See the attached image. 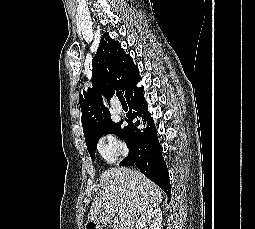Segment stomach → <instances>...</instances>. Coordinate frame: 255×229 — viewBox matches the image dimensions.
I'll return each mask as SVG.
<instances>
[{"label":"stomach","instance_id":"stomach-1","mask_svg":"<svg viewBox=\"0 0 255 229\" xmlns=\"http://www.w3.org/2000/svg\"><path fill=\"white\" fill-rule=\"evenodd\" d=\"M90 224L94 227V229H101L100 226L95 222H90Z\"/></svg>","mask_w":255,"mask_h":229}]
</instances>
